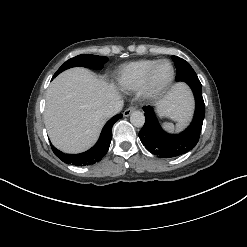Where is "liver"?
<instances>
[{
	"label": "liver",
	"mask_w": 247,
	"mask_h": 247,
	"mask_svg": "<svg viewBox=\"0 0 247 247\" xmlns=\"http://www.w3.org/2000/svg\"><path fill=\"white\" fill-rule=\"evenodd\" d=\"M120 99L116 88L85 68H72L58 75L46 94L45 125L51 142L66 153H80L98 139L107 121L104 109ZM161 111L177 121L190 119L193 101L187 87L174 85L157 102Z\"/></svg>",
	"instance_id": "1"
}]
</instances>
